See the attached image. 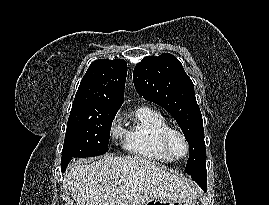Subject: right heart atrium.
Listing matches in <instances>:
<instances>
[{
	"mask_svg": "<svg viewBox=\"0 0 269 205\" xmlns=\"http://www.w3.org/2000/svg\"><path fill=\"white\" fill-rule=\"evenodd\" d=\"M109 133L113 139H119L124 133V129L119 116L113 117L109 125Z\"/></svg>",
	"mask_w": 269,
	"mask_h": 205,
	"instance_id": "obj_1",
	"label": "right heart atrium"
}]
</instances>
